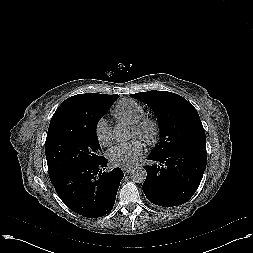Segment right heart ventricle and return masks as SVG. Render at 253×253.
<instances>
[{
	"instance_id": "right-heart-ventricle-1",
	"label": "right heart ventricle",
	"mask_w": 253,
	"mask_h": 253,
	"mask_svg": "<svg viewBox=\"0 0 253 253\" xmlns=\"http://www.w3.org/2000/svg\"><path fill=\"white\" fill-rule=\"evenodd\" d=\"M113 115L128 124H134L144 116L143 107L131 99H123L113 109Z\"/></svg>"
}]
</instances>
